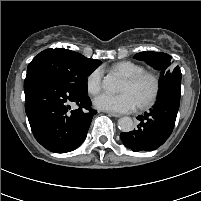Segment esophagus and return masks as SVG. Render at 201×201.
I'll return each instance as SVG.
<instances>
[{
	"mask_svg": "<svg viewBox=\"0 0 201 201\" xmlns=\"http://www.w3.org/2000/svg\"><path fill=\"white\" fill-rule=\"evenodd\" d=\"M107 114H108L109 116H113V117H116V118L121 117V114L114 113V112H107Z\"/></svg>",
	"mask_w": 201,
	"mask_h": 201,
	"instance_id": "1",
	"label": "esophagus"
}]
</instances>
